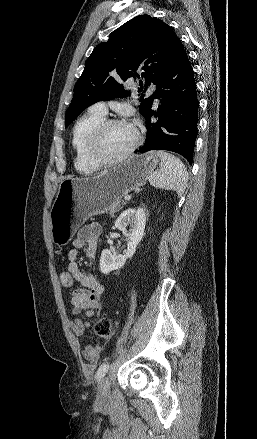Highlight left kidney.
Returning <instances> with one entry per match:
<instances>
[{
  "instance_id": "obj_1",
  "label": "left kidney",
  "mask_w": 257,
  "mask_h": 439,
  "mask_svg": "<svg viewBox=\"0 0 257 439\" xmlns=\"http://www.w3.org/2000/svg\"><path fill=\"white\" fill-rule=\"evenodd\" d=\"M145 224L146 213L143 208H129L120 214L115 221V227L127 234V251L121 255L113 254L108 249L103 250L100 257V271L103 274H109L111 271L122 268L126 260L134 255L137 245L144 236ZM127 226H130L129 230H127Z\"/></svg>"
}]
</instances>
